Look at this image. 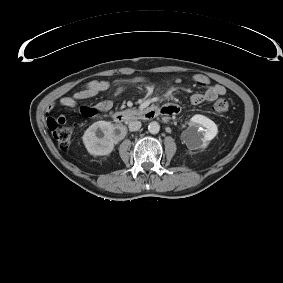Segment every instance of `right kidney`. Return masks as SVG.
<instances>
[{
    "label": "right kidney",
    "instance_id": "obj_1",
    "mask_svg": "<svg viewBox=\"0 0 283 283\" xmlns=\"http://www.w3.org/2000/svg\"><path fill=\"white\" fill-rule=\"evenodd\" d=\"M114 125L107 121H97L84 132L82 137L87 151L95 156L108 155L122 140Z\"/></svg>",
    "mask_w": 283,
    "mask_h": 283
}]
</instances>
